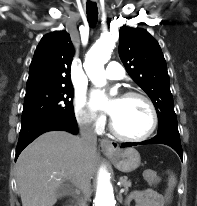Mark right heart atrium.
I'll return each mask as SVG.
<instances>
[{
  "mask_svg": "<svg viewBox=\"0 0 197 206\" xmlns=\"http://www.w3.org/2000/svg\"><path fill=\"white\" fill-rule=\"evenodd\" d=\"M74 111L78 123L86 128L100 131L104 125V118L97 115L84 94H77L74 102Z\"/></svg>",
  "mask_w": 197,
  "mask_h": 206,
  "instance_id": "obj_1",
  "label": "right heart atrium"
}]
</instances>
